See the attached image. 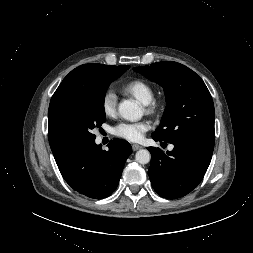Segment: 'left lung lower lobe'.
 <instances>
[{
    "instance_id": "0a47b994",
    "label": "left lung lower lobe",
    "mask_w": 253,
    "mask_h": 253,
    "mask_svg": "<svg viewBox=\"0 0 253 253\" xmlns=\"http://www.w3.org/2000/svg\"><path fill=\"white\" fill-rule=\"evenodd\" d=\"M155 141H162L153 137ZM174 149L164 153L150 147L149 177L154 190L164 198L176 199L191 192L203 179L213 149L194 142H173Z\"/></svg>"
}]
</instances>
